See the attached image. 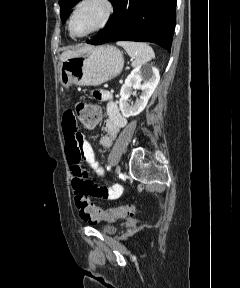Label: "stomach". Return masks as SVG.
Here are the masks:
<instances>
[{"instance_id":"obj_1","label":"stomach","mask_w":240,"mask_h":288,"mask_svg":"<svg viewBox=\"0 0 240 288\" xmlns=\"http://www.w3.org/2000/svg\"><path fill=\"white\" fill-rule=\"evenodd\" d=\"M124 65L122 52L113 45L87 47L61 62L62 88L71 85L97 86L118 76Z\"/></svg>"}]
</instances>
